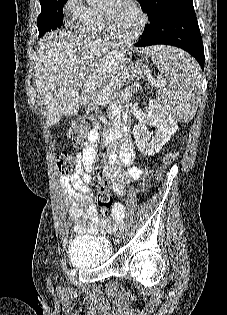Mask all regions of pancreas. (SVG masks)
<instances>
[{"label":"pancreas","instance_id":"cf45deb5","mask_svg":"<svg viewBox=\"0 0 227 315\" xmlns=\"http://www.w3.org/2000/svg\"><path fill=\"white\" fill-rule=\"evenodd\" d=\"M124 72H127V73H124ZM120 74L123 75V77L119 79V81L113 86L111 85V81L114 77L101 78L100 76H92L89 78L93 80L94 82V84H90V85L87 84V92L90 95L89 100H90L91 106L97 107L98 105L102 103L104 99V97L102 96L103 91L108 90L110 88L113 92L114 86H117L118 88H120L122 85L128 83L131 80L132 81L139 80L143 74L144 75L148 74V70L146 66L144 65L143 66L134 65L128 69H125Z\"/></svg>","mask_w":227,"mask_h":315}]
</instances>
